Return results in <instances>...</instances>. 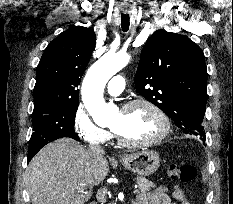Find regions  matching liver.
I'll use <instances>...</instances> for the list:
<instances>
[{
	"mask_svg": "<svg viewBox=\"0 0 233 204\" xmlns=\"http://www.w3.org/2000/svg\"><path fill=\"white\" fill-rule=\"evenodd\" d=\"M109 171L104 156L95 157L70 138L44 146L27 168L32 204H85Z\"/></svg>",
	"mask_w": 233,
	"mask_h": 204,
	"instance_id": "1",
	"label": "liver"
}]
</instances>
